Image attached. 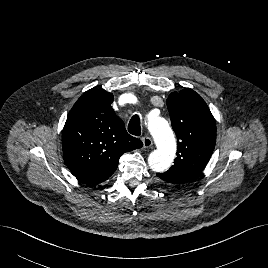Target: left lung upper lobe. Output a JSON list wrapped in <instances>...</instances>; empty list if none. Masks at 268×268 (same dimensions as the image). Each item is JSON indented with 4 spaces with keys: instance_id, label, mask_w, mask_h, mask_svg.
I'll use <instances>...</instances> for the list:
<instances>
[{
    "instance_id": "obj_1",
    "label": "left lung upper lobe",
    "mask_w": 268,
    "mask_h": 268,
    "mask_svg": "<svg viewBox=\"0 0 268 268\" xmlns=\"http://www.w3.org/2000/svg\"><path fill=\"white\" fill-rule=\"evenodd\" d=\"M166 103L178 140L177 157L168 171L157 176L183 184L195 179L207 165L216 142V124L205 101L190 88L171 93Z\"/></svg>"
}]
</instances>
